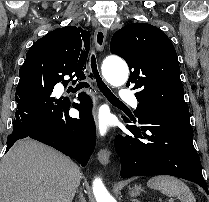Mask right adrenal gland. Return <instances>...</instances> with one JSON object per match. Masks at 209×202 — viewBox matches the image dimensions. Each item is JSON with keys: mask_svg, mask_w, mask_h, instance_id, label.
I'll use <instances>...</instances> for the list:
<instances>
[{"mask_svg": "<svg viewBox=\"0 0 209 202\" xmlns=\"http://www.w3.org/2000/svg\"><path fill=\"white\" fill-rule=\"evenodd\" d=\"M78 197H79L80 202H86L81 191H79V196Z\"/></svg>", "mask_w": 209, "mask_h": 202, "instance_id": "obj_1", "label": "right adrenal gland"}]
</instances>
